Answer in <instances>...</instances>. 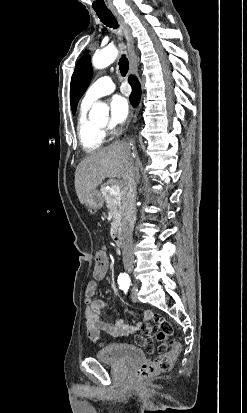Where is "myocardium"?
I'll use <instances>...</instances> for the list:
<instances>
[{
	"instance_id": "1",
	"label": "myocardium",
	"mask_w": 247,
	"mask_h": 413,
	"mask_svg": "<svg viewBox=\"0 0 247 413\" xmlns=\"http://www.w3.org/2000/svg\"><path fill=\"white\" fill-rule=\"evenodd\" d=\"M100 130L102 131L103 134L106 132V128H105V127H101Z\"/></svg>"
}]
</instances>
